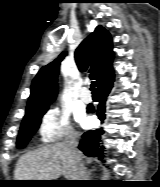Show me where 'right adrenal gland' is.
<instances>
[{
	"label": "right adrenal gland",
	"instance_id": "right-adrenal-gland-1",
	"mask_svg": "<svg viewBox=\"0 0 160 187\" xmlns=\"http://www.w3.org/2000/svg\"><path fill=\"white\" fill-rule=\"evenodd\" d=\"M88 176H90V171L88 172Z\"/></svg>",
	"mask_w": 160,
	"mask_h": 187
}]
</instances>
